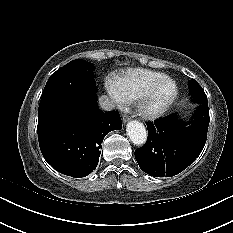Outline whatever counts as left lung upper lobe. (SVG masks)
<instances>
[{
    "label": "left lung upper lobe",
    "instance_id": "obj_1",
    "mask_svg": "<svg viewBox=\"0 0 233 233\" xmlns=\"http://www.w3.org/2000/svg\"><path fill=\"white\" fill-rule=\"evenodd\" d=\"M189 91L193 102L204 103L207 96L202 87L194 79L189 81Z\"/></svg>",
    "mask_w": 233,
    "mask_h": 233
}]
</instances>
